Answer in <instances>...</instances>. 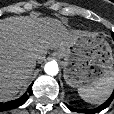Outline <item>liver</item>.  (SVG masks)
<instances>
[{"label": "liver", "instance_id": "6515ba94", "mask_svg": "<svg viewBox=\"0 0 114 114\" xmlns=\"http://www.w3.org/2000/svg\"><path fill=\"white\" fill-rule=\"evenodd\" d=\"M83 34L52 18L10 17L0 20V102L16 96L31 78L36 61L50 48H64Z\"/></svg>", "mask_w": 114, "mask_h": 114}]
</instances>
